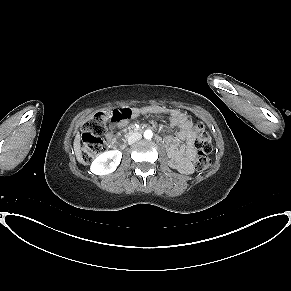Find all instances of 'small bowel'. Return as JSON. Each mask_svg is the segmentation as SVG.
<instances>
[{"mask_svg":"<svg viewBox=\"0 0 291 291\" xmlns=\"http://www.w3.org/2000/svg\"><path fill=\"white\" fill-rule=\"evenodd\" d=\"M143 114H167L169 116L170 126L179 129L177 137L185 142L183 147H179L173 137L168 136L165 138L170 158L181 172L191 173L192 167L190 162L196 155L195 142L197 135L192 121L188 119L185 113L178 109H169L158 105L134 108L131 112L130 118H137ZM129 119H122L114 122L106 134V139L109 144H113V139L115 138L114 128H120L127 125Z\"/></svg>","mask_w":291,"mask_h":291,"instance_id":"c3829d8e","label":"small bowel"}]
</instances>
